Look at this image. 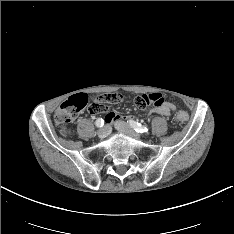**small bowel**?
<instances>
[{
	"instance_id": "c3829d8e",
	"label": "small bowel",
	"mask_w": 234,
	"mask_h": 234,
	"mask_svg": "<svg viewBox=\"0 0 234 234\" xmlns=\"http://www.w3.org/2000/svg\"><path fill=\"white\" fill-rule=\"evenodd\" d=\"M122 97L117 93L107 95H96L87 105V110L92 115L100 114L107 121L116 120L119 115L111 111L109 104L121 102ZM133 105L138 110L151 109L149 114L170 116L175 111V106L167 102V97L162 92L152 94H141L134 98Z\"/></svg>"
}]
</instances>
